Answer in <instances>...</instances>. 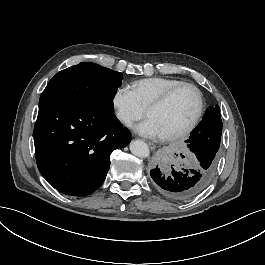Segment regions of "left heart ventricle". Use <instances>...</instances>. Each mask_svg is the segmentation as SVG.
<instances>
[{"label":"left heart ventricle","instance_id":"b2bd125f","mask_svg":"<svg viewBox=\"0 0 265 265\" xmlns=\"http://www.w3.org/2000/svg\"><path fill=\"white\" fill-rule=\"evenodd\" d=\"M198 107L193 90L179 92L166 106L147 115L156 121L164 136L183 130L194 118Z\"/></svg>","mask_w":265,"mask_h":265}]
</instances>
